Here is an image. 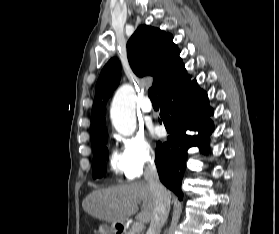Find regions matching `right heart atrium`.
Segmentation results:
<instances>
[{
    "mask_svg": "<svg viewBox=\"0 0 279 234\" xmlns=\"http://www.w3.org/2000/svg\"><path fill=\"white\" fill-rule=\"evenodd\" d=\"M121 143L126 176L130 179L138 178L154 162V147L142 133L122 138Z\"/></svg>",
    "mask_w": 279,
    "mask_h": 234,
    "instance_id": "obj_1",
    "label": "right heart atrium"
}]
</instances>
